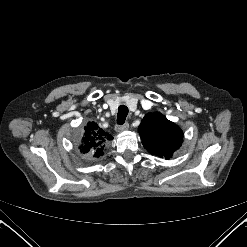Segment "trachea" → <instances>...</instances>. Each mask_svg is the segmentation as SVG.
<instances>
[{"label": "trachea", "instance_id": "obj_1", "mask_svg": "<svg viewBox=\"0 0 247 247\" xmlns=\"http://www.w3.org/2000/svg\"><path fill=\"white\" fill-rule=\"evenodd\" d=\"M128 107L125 106V105H120L118 107V113H117V123L122 125L125 120H126V117L128 115Z\"/></svg>", "mask_w": 247, "mask_h": 247}]
</instances>
